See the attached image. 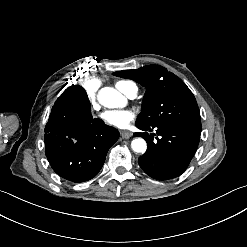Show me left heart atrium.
Returning <instances> with one entry per match:
<instances>
[{"instance_id":"39dd6f15","label":"left heart atrium","mask_w":247,"mask_h":247,"mask_svg":"<svg viewBox=\"0 0 247 247\" xmlns=\"http://www.w3.org/2000/svg\"><path fill=\"white\" fill-rule=\"evenodd\" d=\"M136 117V113L129 109L124 110H107L102 114L106 124L117 128H125Z\"/></svg>"}]
</instances>
